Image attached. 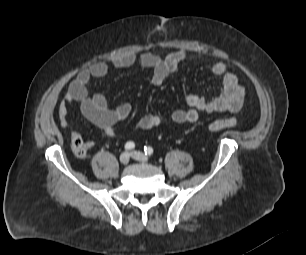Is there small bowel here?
<instances>
[{"mask_svg":"<svg viewBox=\"0 0 306 255\" xmlns=\"http://www.w3.org/2000/svg\"><path fill=\"white\" fill-rule=\"evenodd\" d=\"M185 50H178L161 56L156 53L135 54L127 53L116 56L112 65L116 69L139 66L150 69L153 73L152 83L161 85L175 73L180 64L187 58ZM214 75L222 80V90L219 95L207 98L202 95L190 93L186 96L188 108L176 109L172 112V120L177 124L194 123L202 112H238L243 106L245 88L238 81L237 76L227 71L224 62L218 61L211 66ZM108 66L104 62H97L89 68L81 70L70 83L68 90L58 107V117L62 127L67 126L68 104L76 102L80 105L83 116L101 129L110 138L117 135L116 125L125 120L132 112L130 103L125 102L114 108L109 107L102 94L89 95L88 86L92 80H99L106 76ZM162 118L157 114H145L139 119V127L150 130L159 126ZM92 147L93 142L87 141Z\"/></svg>","mask_w":306,"mask_h":255,"instance_id":"obj_1","label":"small bowel"}]
</instances>
